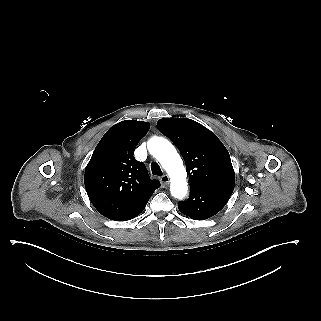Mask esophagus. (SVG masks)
<instances>
[{"instance_id": "1", "label": "esophagus", "mask_w": 321, "mask_h": 321, "mask_svg": "<svg viewBox=\"0 0 321 321\" xmlns=\"http://www.w3.org/2000/svg\"><path fill=\"white\" fill-rule=\"evenodd\" d=\"M169 181H170V178L167 174L163 175L161 178H160V182H161V185L162 187H167L169 185Z\"/></svg>"}]
</instances>
